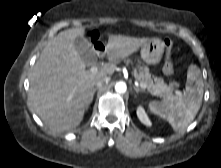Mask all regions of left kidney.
<instances>
[{
	"label": "left kidney",
	"instance_id": "1",
	"mask_svg": "<svg viewBox=\"0 0 221 168\" xmlns=\"http://www.w3.org/2000/svg\"><path fill=\"white\" fill-rule=\"evenodd\" d=\"M137 116L139 118V120L146 126H150L151 125V121L148 117V115L146 114L145 110L143 107L139 106L137 108Z\"/></svg>",
	"mask_w": 221,
	"mask_h": 168
}]
</instances>
